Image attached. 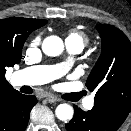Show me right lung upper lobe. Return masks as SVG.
<instances>
[{"mask_svg":"<svg viewBox=\"0 0 131 131\" xmlns=\"http://www.w3.org/2000/svg\"><path fill=\"white\" fill-rule=\"evenodd\" d=\"M47 20L12 17L0 20V107L19 91L13 89L5 78L7 67L18 64L22 57L23 32L30 27L39 28Z\"/></svg>","mask_w":131,"mask_h":131,"instance_id":"right-lung-upper-lobe-1","label":"right lung upper lobe"}]
</instances>
